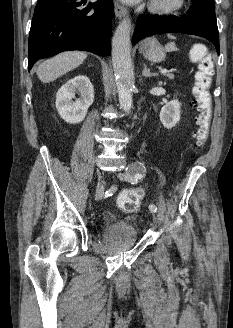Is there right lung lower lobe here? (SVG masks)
Returning a JSON list of instances; mask_svg holds the SVG:
<instances>
[{
	"label": "right lung lower lobe",
	"mask_w": 233,
	"mask_h": 328,
	"mask_svg": "<svg viewBox=\"0 0 233 328\" xmlns=\"http://www.w3.org/2000/svg\"><path fill=\"white\" fill-rule=\"evenodd\" d=\"M38 0L29 35L28 70L45 57L67 50L111 53L113 2Z\"/></svg>",
	"instance_id": "1"
}]
</instances>
